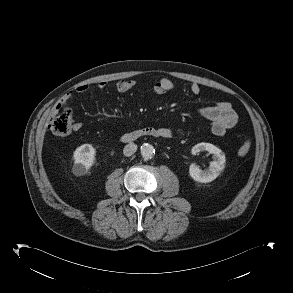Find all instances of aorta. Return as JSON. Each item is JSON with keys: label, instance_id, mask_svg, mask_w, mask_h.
I'll list each match as a JSON object with an SVG mask.
<instances>
[{"label": "aorta", "instance_id": "1", "mask_svg": "<svg viewBox=\"0 0 293 293\" xmlns=\"http://www.w3.org/2000/svg\"><path fill=\"white\" fill-rule=\"evenodd\" d=\"M155 154V149L151 144H143L141 146V155L145 160L151 159Z\"/></svg>", "mask_w": 293, "mask_h": 293}]
</instances>
